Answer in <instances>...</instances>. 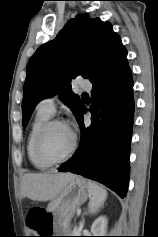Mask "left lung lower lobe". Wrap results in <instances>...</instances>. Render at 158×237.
<instances>
[{
  "mask_svg": "<svg viewBox=\"0 0 158 237\" xmlns=\"http://www.w3.org/2000/svg\"><path fill=\"white\" fill-rule=\"evenodd\" d=\"M91 125L85 128L82 106L78 115L81 141L59 171L98 181L123 198L128 189L130 143L134 119L133 80L127 59L93 83Z\"/></svg>",
  "mask_w": 158,
  "mask_h": 237,
  "instance_id": "0a47b994",
  "label": "left lung lower lobe"
}]
</instances>
